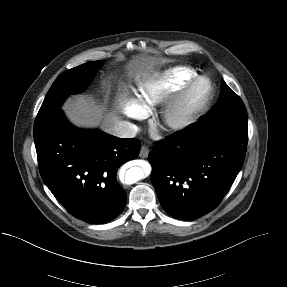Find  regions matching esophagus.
I'll use <instances>...</instances> for the list:
<instances>
[{"instance_id":"34e87169","label":"esophagus","mask_w":287,"mask_h":287,"mask_svg":"<svg viewBox=\"0 0 287 287\" xmlns=\"http://www.w3.org/2000/svg\"><path fill=\"white\" fill-rule=\"evenodd\" d=\"M148 155H149V148H148V146L143 145L141 147L140 157L141 158H147Z\"/></svg>"}]
</instances>
